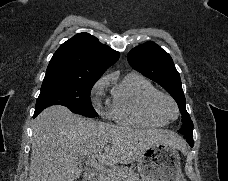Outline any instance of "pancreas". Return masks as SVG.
I'll list each match as a JSON object with an SVG mask.
<instances>
[{
  "instance_id": "cf45deb5",
  "label": "pancreas",
  "mask_w": 228,
  "mask_h": 181,
  "mask_svg": "<svg viewBox=\"0 0 228 181\" xmlns=\"http://www.w3.org/2000/svg\"><path fill=\"white\" fill-rule=\"evenodd\" d=\"M106 177H110V179H106ZM98 181H140V179L128 167H113V169H108V173H102L101 177L99 175Z\"/></svg>"
}]
</instances>
